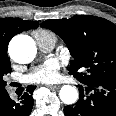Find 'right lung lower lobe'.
<instances>
[{
  "mask_svg": "<svg viewBox=\"0 0 116 116\" xmlns=\"http://www.w3.org/2000/svg\"><path fill=\"white\" fill-rule=\"evenodd\" d=\"M35 87H27V91L15 102L8 93L0 97V116H29L33 107L32 93Z\"/></svg>",
  "mask_w": 116,
  "mask_h": 116,
  "instance_id": "obj_1",
  "label": "right lung lower lobe"
}]
</instances>
